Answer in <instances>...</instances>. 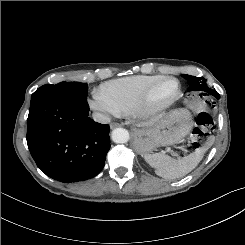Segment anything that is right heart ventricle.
<instances>
[{
    "label": "right heart ventricle",
    "mask_w": 245,
    "mask_h": 245,
    "mask_svg": "<svg viewBox=\"0 0 245 245\" xmlns=\"http://www.w3.org/2000/svg\"><path fill=\"white\" fill-rule=\"evenodd\" d=\"M162 78V75L122 77L101 84L99 92L117 108L120 115H129L145 91Z\"/></svg>",
    "instance_id": "obj_1"
}]
</instances>
